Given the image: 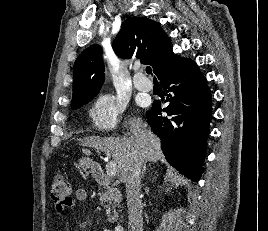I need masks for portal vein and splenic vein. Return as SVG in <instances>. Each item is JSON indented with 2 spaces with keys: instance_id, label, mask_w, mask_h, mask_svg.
Segmentation results:
<instances>
[{
  "instance_id": "18ae733b",
  "label": "portal vein and splenic vein",
  "mask_w": 268,
  "mask_h": 231,
  "mask_svg": "<svg viewBox=\"0 0 268 231\" xmlns=\"http://www.w3.org/2000/svg\"><path fill=\"white\" fill-rule=\"evenodd\" d=\"M109 155V154H108ZM117 171V164L114 160L108 161L106 164V173L109 177H114Z\"/></svg>"
}]
</instances>
